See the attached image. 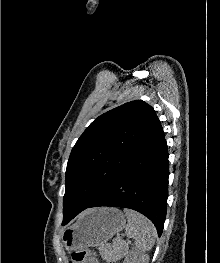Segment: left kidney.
<instances>
[{"label": "left kidney", "mask_w": 220, "mask_h": 263, "mask_svg": "<svg viewBox=\"0 0 220 263\" xmlns=\"http://www.w3.org/2000/svg\"><path fill=\"white\" fill-rule=\"evenodd\" d=\"M149 257L137 252H130L123 263H148Z\"/></svg>", "instance_id": "5707ae66"}]
</instances>
